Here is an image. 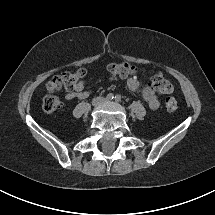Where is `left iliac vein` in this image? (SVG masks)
<instances>
[{"instance_id": "left-iliac-vein-1", "label": "left iliac vein", "mask_w": 215, "mask_h": 215, "mask_svg": "<svg viewBox=\"0 0 215 215\" xmlns=\"http://www.w3.org/2000/svg\"><path fill=\"white\" fill-rule=\"evenodd\" d=\"M105 103H109V100H105Z\"/></svg>"}]
</instances>
